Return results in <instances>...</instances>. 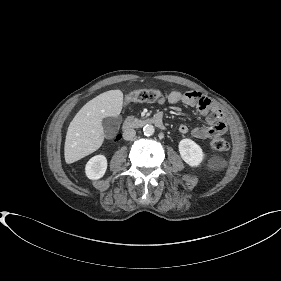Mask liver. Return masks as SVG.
I'll return each mask as SVG.
<instances>
[{
  "label": "liver",
  "instance_id": "1",
  "mask_svg": "<svg viewBox=\"0 0 281 281\" xmlns=\"http://www.w3.org/2000/svg\"><path fill=\"white\" fill-rule=\"evenodd\" d=\"M123 107L121 90L106 91L88 101L71 121L65 140L67 164L76 162L98 150L104 141L102 121L118 117Z\"/></svg>",
  "mask_w": 281,
  "mask_h": 281
}]
</instances>
